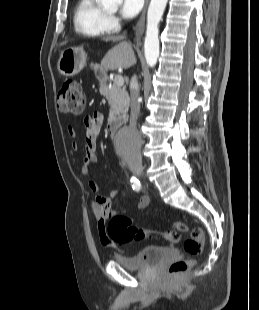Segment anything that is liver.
I'll return each instance as SVG.
<instances>
[{"label":"liver","mask_w":259,"mask_h":310,"mask_svg":"<svg viewBox=\"0 0 259 310\" xmlns=\"http://www.w3.org/2000/svg\"><path fill=\"white\" fill-rule=\"evenodd\" d=\"M121 37H105L104 41H119ZM136 63V57L131 45L127 42H120L112 47L104 56L101 66L106 69H128Z\"/></svg>","instance_id":"1"}]
</instances>
